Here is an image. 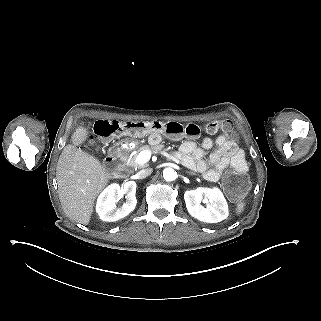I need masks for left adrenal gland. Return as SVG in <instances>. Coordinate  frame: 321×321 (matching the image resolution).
Segmentation results:
<instances>
[{
  "instance_id": "a2214340",
  "label": "left adrenal gland",
  "mask_w": 321,
  "mask_h": 321,
  "mask_svg": "<svg viewBox=\"0 0 321 321\" xmlns=\"http://www.w3.org/2000/svg\"><path fill=\"white\" fill-rule=\"evenodd\" d=\"M187 174L189 175H194L195 173L194 172H191V171H186Z\"/></svg>"
}]
</instances>
